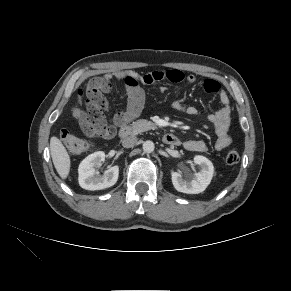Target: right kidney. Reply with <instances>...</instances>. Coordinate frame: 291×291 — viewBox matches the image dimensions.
<instances>
[{
	"instance_id": "obj_1",
	"label": "right kidney",
	"mask_w": 291,
	"mask_h": 291,
	"mask_svg": "<svg viewBox=\"0 0 291 291\" xmlns=\"http://www.w3.org/2000/svg\"><path fill=\"white\" fill-rule=\"evenodd\" d=\"M105 160V153L102 151L94 152L87 156L79 165V185L86 190H101L113 186L119 175V167L113 166L99 175L95 166Z\"/></svg>"
}]
</instances>
